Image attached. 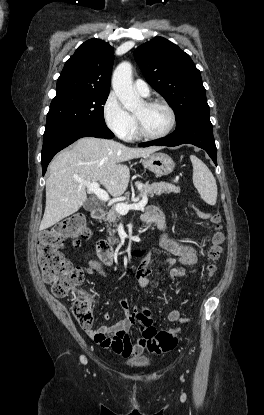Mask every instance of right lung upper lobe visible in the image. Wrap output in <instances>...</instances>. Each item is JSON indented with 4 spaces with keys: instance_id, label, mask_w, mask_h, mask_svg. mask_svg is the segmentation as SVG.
Returning a JSON list of instances; mask_svg holds the SVG:
<instances>
[{
    "instance_id": "obj_1",
    "label": "right lung upper lobe",
    "mask_w": 264,
    "mask_h": 415,
    "mask_svg": "<svg viewBox=\"0 0 264 415\" xmlns=\"http://www.w3.org/2000/svg\"><path fill=\"white\" fill-rule=\"evenodd\" d=\"M114 51L109 43L90 39L65 63L57 80L56 95L109 93Z\"/></svg>"
}]
</instances>
